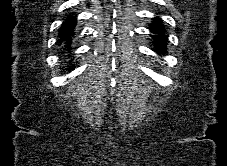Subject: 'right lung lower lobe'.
<instances>
[{"label": "right lung lower lobe", "instance_id": "obj_1", "mask_svg": "<svg viewBox=\"0 0 227 166\" xmlns=\"http://www.w3.org/2000/svg\"><path fill=\"white\" fill-rule=\"evenodd\" d=\"M76 25V20L75 18H69L67 19L61 29H60V32H59V37L61 39V41H66L67 42V45L68 46L69 42L71 41V36L74 35V32H73V29Z\"/></svg>", "mask_w": 227, "mask_h": 166}]
</instances>
